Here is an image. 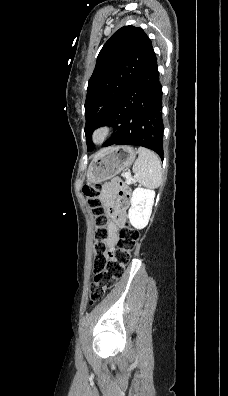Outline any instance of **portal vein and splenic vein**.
<instances>
[{
	"label": "portal vein and splenic vein",
	"mask_w": 228,
	"mask_h": 396,
	"mask_svg": "<svg viewBox=\"0 0 228 396\" xmlns=\"http://www.w3.org/2000/svg\"><path fill=\"white\" fill-rule=\"evenodd\" d=\"M125 175H126V176H129V175H130V173H125Z\"/></svg>",
	"instance_id": "obj_1"
}]
</instances>
